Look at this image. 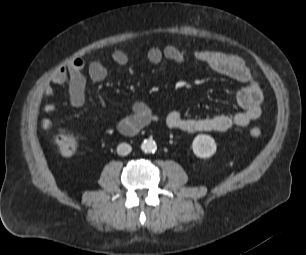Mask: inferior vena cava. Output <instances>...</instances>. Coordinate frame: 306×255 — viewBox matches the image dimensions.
<instances>
[{
  "mask_svg": "<svg viewBox=\"0 0 306 255\" xmlns=\"http://www.w3.org/2000/svg\"><path fill=\"white\" fill-rule=\"evenodd\" d=\"M132 151V147L127 143H121L117 146L118 155L125 156Z\"/></svg>",
  "mask_w": 306,
  "mask_h": 255,
  "instance_id": "1",
  "label": "inferior vena cava"
}]
</instances>
